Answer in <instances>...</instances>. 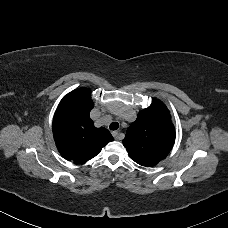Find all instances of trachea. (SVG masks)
<instances>
[{"label": "trachea", "instance_id": "trachea-1", "mask_svg": "<svg viewBox=\"0 0 228 228\" xmlns=\"http://www.w3.org/2000/svg\"><path fill=\"white\" fill-rule=\"evenodd\" d=\"M110 130H117L119 128L118 122H112L109 126Z\"/></svg>", "mask_w": 228, "mask_h": 228}]
</instances>
